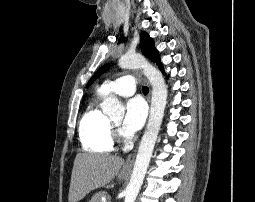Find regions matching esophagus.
Instances as JSON below:
<instances>
[{
	"label": "esophagus",
	"mask_w": 255,
	"mask_h": 202,
	"mask_svg": "<svg viewBox=\"0 0 255 202\" xmlns=\"http://www.w3.org/2000/svg\"><path fill=\"white\" fill-rule=\"evenodd\" d=\"M135 155H136V149L133 150L127 157L126 162H125V168H131L133 166L134 163V159H135Z\"/></svg>",
	"instance_id": "esophagus-1"
}]
</instances>
